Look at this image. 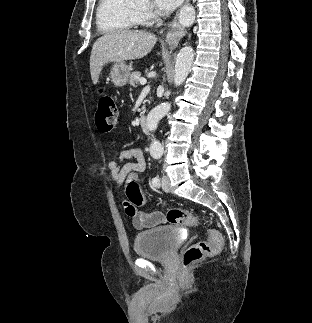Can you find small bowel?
Here are the masks:
<instances>
[{
    "instance_id": "obj_1",
    "label": "small bowel",
    "mask_w": 312,
    "mask_h": 323,
    "mask_svg": "<svg viewBox=\"0 0 312 323\" xmlns=\"http://www.w3.org/2000/svg\"><path fill=\"white\" fill-rule=\"evenodd\" d=\"M131 160H134L131 162ZM146 158L142 149L138 147H131L122 150L118 159L111 160L108 163L113 181L118 185L124 184V176H133V174H126V167H136L139 173L146 170ZM132 217V224L136 229L143 230L156 227L165 222V217L162 212L158 210L139 211L135 212Z\"/></svg>"
}]
</instances>
